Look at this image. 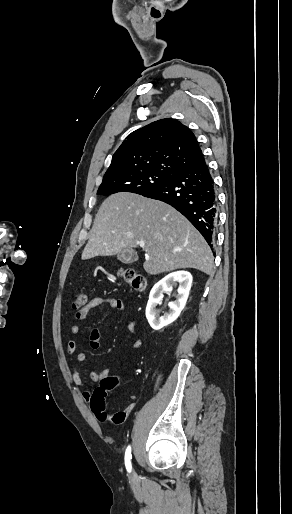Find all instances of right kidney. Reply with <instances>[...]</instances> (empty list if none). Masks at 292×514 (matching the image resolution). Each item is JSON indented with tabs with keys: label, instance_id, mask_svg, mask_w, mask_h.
<instances>
[{
	"label": "right kidney",
	"instance_id": "obj_1",
	"mask_svg": "<svg viewBox=\"0 0 292 514\" xmlns=\"http://www.w3.org/2000/svg\"><path fill=\"white\" fill-rule=\"evenodd\" d=\"M176 282L179 284L176 300L175 302H169V312H165L164 316H159L160 310H157L156 306L157 304H162L163 292H172V286H176ZM191 284L192 276L190 272L181 270V272L168 274V276H165L163 280H160V282L153 286L146 308V318L154 330H161L164 326H168V324H172L174 320H177L180 312L186 306Z\"/></svg>",
	"mask_w": 292,
	"mask_h": 514
}]
</instances>
